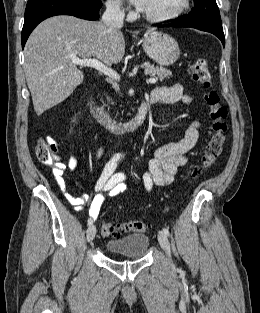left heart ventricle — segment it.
<instances>
[{"mask_svg":"<svg viewBox=\"0 0 260 313\" xmlns=\"http://www.w3.org/2000/svg\"><path fill=\"white\" fill-rule=\"evenodd\" d=\"M182 0H146L142 11L146 14L160 16L176 10Z\"/></svg>","mask_w":260,"mask_h":313,"instance_id":"b2bd125f","label":"left heart ventricle"}]
</instances>
